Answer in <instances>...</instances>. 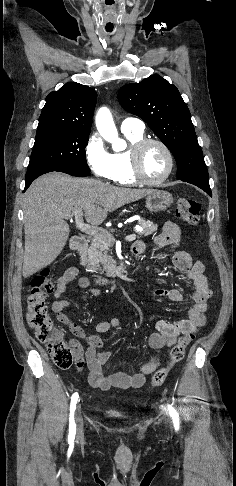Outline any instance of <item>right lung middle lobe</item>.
Wrapping results in <instances>:
<instances>
[{
	"instance_id": "1",
	"label": "right lung middle lobe",
	"mask_w": 236,
	"mask_h": 486,
	"mask_svg": "<svg viewBox=\"0 0 236 486\" xmlns=\"http://www.w3.org/2000/svg\"><path fill=\"white\" fill-rule=\"evenodd\" d=\"M90 132L38 129L27 170L39 167L90 172L85 147Z\"/></svg>"
}]
</instances>
